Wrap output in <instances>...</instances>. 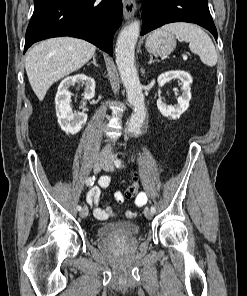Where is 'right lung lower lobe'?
Returning <instances> with one entry per match:
<instances>
[{"label": "right lung lower lobe", "instance_id": "1", "mask_svg": "<svg viewBox=\"0 0 247 296\" xmlns=\"http://www.w3.org/2000/svg\"><path fill=\"white\" fill-rule=\"evenodd\" d=\"M26 50L35 42L58 36L77 37L113 54L112 40L121 24V0H34Z\"/></svg>", "mask_w": 247, "mask_h": 296}]
</instances>
